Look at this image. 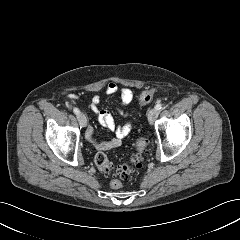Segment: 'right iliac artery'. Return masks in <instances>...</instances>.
I'll return each instance as SVG.
<instances>
[{
  "mask_svg": "<svg viewBox=\"0 0 240 240\" xmlns=\"http://www.w3.org/2000/svg\"><path fill=\"white\" fill-rule=\"evenodd\" d=\"M73 112H74L76 115H78V114L80 113V111H79L78 108H74V109H73Z\"/></svg>",
  "mask_w": 240,
  "mask_h": 240,
  "instance_id": "right-iliac-artery-1",
  "label": "right iliac artery"
}]
</instances>
